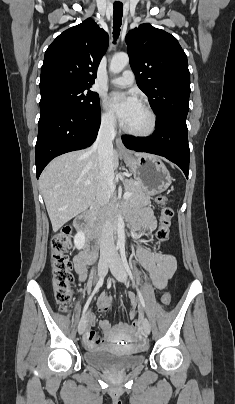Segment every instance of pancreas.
I'll return each instance as SVG.
<instances>
[{"label": "pancreas", "instance_id": "obj_1", "mask_svg": "<svg viewBox=\"0 0 235 404\" xmlns=\"http://www.w3.org/2000/svg\"><path fill=\"white\" fill-rule=\"evenodd\" d=\"M125 192L132 193V196L127 200L133 206H140L149 204L151 195L146 191L144 185L132 179H126L124 181ZM115 209V203H111L108 211L113 214Z\"/></svg>", "mask_w": 235, "mask_h": 404}]
</instances>
